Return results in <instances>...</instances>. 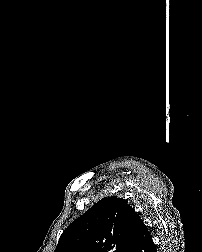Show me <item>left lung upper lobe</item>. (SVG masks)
<instances>
[{
	"mask_svg": "<svg viewBox=\"0 0 202 252\" xmlns=\"http://www.w3.org/2000/svg\"><path fill=\"white\" fill-rule=\"evenodd\" d=\"M141 222L124 199L103 198L64 230L54 252H132Z\"/></svg>",
	"mask_w": 202,
	"mask_h": 252,
	"instance_id": "1",
	"label": "left lung upper lobe"
}]
</instances>
